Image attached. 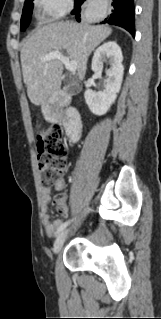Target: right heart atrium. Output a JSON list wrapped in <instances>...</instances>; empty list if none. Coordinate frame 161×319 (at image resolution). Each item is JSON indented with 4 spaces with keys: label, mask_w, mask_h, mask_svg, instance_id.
<instances>
[{
    "label": "right heart atrium",
    "mask_w": 161,
    "mask_h": 319,
    "mask_svg": "<svg viewBox=\"0 0 161 319\" xmlns=\"http://www.w3.org/2000/svg\"><path fill=\"white\" fill-rule=\"evenodd\" d=\"M72 0H36L46 20L54 21L64 16L72 7Z\"/></svg>",
    "instance_id": "obj_1"
}]
</instances>
